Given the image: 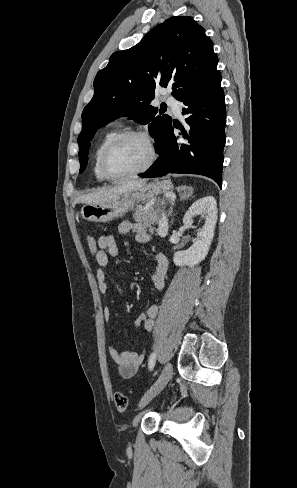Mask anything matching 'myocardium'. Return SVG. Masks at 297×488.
<instances>
[{
    "label": "myocardium",
    "mask_w": 297,
    "mask_h": 488,
    "mask_svg": "<svg viewBox=\"0 0 297 488\" xmlns=\"http://www.w3.org/2000/svg\"><path fill=\"white\" fill-rule=\"evenodd\" d=\"M129 138H141L146 141L149 147V157L145 164L141 166L140 168L126 173L122 175H112L107 168V159L111 151L119 145L121 142L129 139ZM158 156V150L155 141L153 138L147 134L144 131L141 130H127L124 132H121L119 135H117L115 138H113L103 149V152L100 157V170L102 175L105 177L106 180L110 181H119L127 178H131L134 176H137L141 173L146 172L149 170L152 165L155 163L156 159Z\"/></svg>",
    "instance_id": "1"
}]
</instances>
